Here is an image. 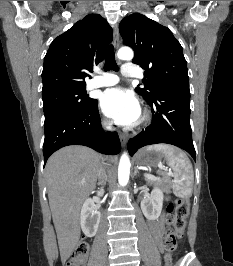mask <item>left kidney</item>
Masks as SVG:
<instances>
[{"label": "left kidney", "instance_id": "left-kidney-1", "mask_svg": "<svg viewBox=\"0 0 233 266\" xmlns=\"http://www.w3.org/2000/svg\"><path fill=\"white\" fill-rule=\"evenodd\" d=\"M163 206V191L154 187L151 194L141 201V209L144 216L149 220H156L161 214Z\"/></svg>", "mask_w": 233, "mask_h": 266}]
</instances>
